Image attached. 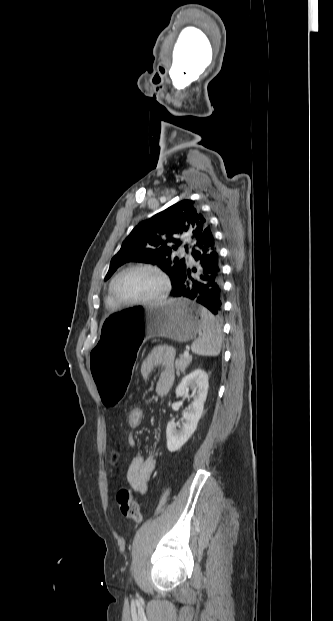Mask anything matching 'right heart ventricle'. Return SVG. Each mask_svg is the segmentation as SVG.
Instances as JSON below:
<instances>
[{
	"label": "right heart ventricle",
	"instance_id": "right-heart-ventricle-1",
	"mask_svg": "<svg viewBox=\"0 0 333 621\" xmlns=\"http://www.w3.org/2000/svg\"><path fill=\"white\" fill-rule=\"evenodd\" d=\"M106 304L108 307L110 308H116L117 305L115 304V302L113 301L110 293L108 292V294L106 295Z\"/></svg>",
	"mask_w": 333,
	"mask_h": 621
}]
</instances>
